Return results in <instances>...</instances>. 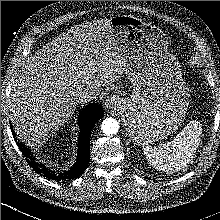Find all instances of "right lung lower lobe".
Here are the masks:
<instances>
[{
	"mask_svg": "<svg viewBox=\"0 0 220 220\" xmlns=\"http://www.w3.org/2000/svg\"><path fill=\"white\" fill-rule=\"evenodd\" d=\"M104 116L102 107L96 103H91L84 107L80 114L78 125L80 126L79 141H78V156L75 165L63 174L55 175L46 168L43 164L37 162L30 149L25 147L21 142H17L26 161L37 173L52 180L73 179L80 176L87 168L90 160V137L91 131L95 123ZM11 130L13 126L11 125ZM13 136L16 139V134L13 131Z\"/></svg>",
	"mask_w": 220,
	"mask_h": 220,
	"instance_id": "obj_1",
	"label": "right lung lower lobe"
}]
</instances>
